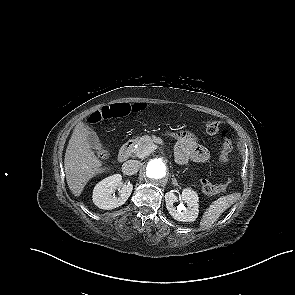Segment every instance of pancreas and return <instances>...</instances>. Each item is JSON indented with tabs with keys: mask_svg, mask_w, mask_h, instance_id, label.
Returning a JSON list of instances; mask_svg holds the SVG:
<instances>
[{
	"mask_svg": "<svg viewBox=\"0 0 295 295\" xmlns=\"http://www.w3.org/2000/svg\"><path fill=\"white\" fill-rule=\"evenodd\" d=\"M162 144L163 141L160 137L156 136H142L137 141V147L132 150L134 156L143 158L148 156L151 152L148 151V148L152 145Z\"/></svg>",
	"mask_w": 295,
	"mask_h": 295,
	"instance_id": "1",
	"label": "pancreas"
}]
</instances>
